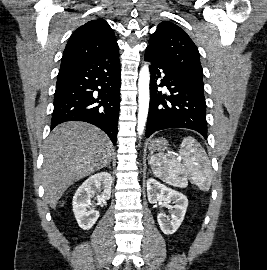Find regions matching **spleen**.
Wrapping results in <instances>:
<instances>
[{
    "instance_id": "1",
    "label": "spleen",
    "mask_w": 267,
    "mask_h": 270,
    "mask_svg": "<svg viewBox=\"0 0 267 270\" xmlns=\"http://www.w3.org/2000/svg\"><path fill=\"white\" fill-rule=\"evenodd\" d=\"M150 164L154 174L170 185L184 188L189 179L202 191L211 186V163L201 144L191 136L183 138L179 155L158 154L150 158Z\"/></svg>"
}]
</instances>
